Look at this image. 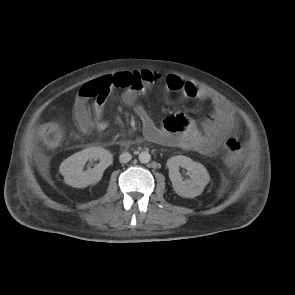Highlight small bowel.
Returning a JSON list of instances; mask_svg holds the SVG:
<instances>
[{
  "instance_id": "c3829d8e",
  "label": "small bowel",
  "mask_w": 295,
  "mask_h": 295,
  "mask_svg": "<svg viewBox=\"0 0 295 295\" xmlns=\"http://www.w3.org/2000/svg\"><path fill=\"white\" fill-rule=\"evenodd\" d=\"M132 74L139 78L140 84L124 89L121 99L124 104L131 106L141 119L144 135L149 141L209 156L237 132V120L230 107L209 91L176 75L162 76L151 70ZM104 78L83 85L74 102V122L83 135L108 127V121L104 117V106L110 90L100 86V81ZM160 82L164 83L168 92L210 102L212 114L202 121L200 127L184 113L171 114L157 126L141 103V97L146 90Z\"/></svg>"
}]
</instances>
